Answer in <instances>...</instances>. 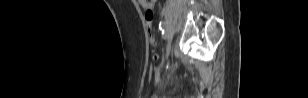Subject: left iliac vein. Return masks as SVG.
Masks as SVG:
<instances>
[{
	"label": "left iliac vein",
	"instance_id": "1",
	"mask_svg": "<svg viewBox=\"0 0 308 98\" xmlns=\"http://www.w3.org/2000/svg\"><path fill=\"white\" fill-rule=\"evenodd\" d=\"M171 48H172V42H171V40H169V41H168V44H167V46H166V53H165L164 59H167V58H168V56H169V54H170V52H171Z\"/></svg>",
	"mask_w": 308,
	"mask_h": 98
}]
</instances>
